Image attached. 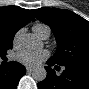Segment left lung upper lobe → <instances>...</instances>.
I'll list each match as a JSON object with an SVG mask.
<instances>
[{"label":"left lung upper lobe","mask_w":89,"mask_h":89,"mask_svg":"<svg viewBox=\"0 0 89 89\" xmlns=\"http://www.w3.org/2000/svg\"><path fill=\"white\" fill-rule=\"evenodd\" d=\"M53 31L57 50L50 59L58 65H89V22L72 11L57 8L32 10Z\"/></svg>","instance_id":"obj_1"}]
</instances>
